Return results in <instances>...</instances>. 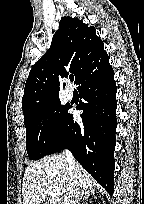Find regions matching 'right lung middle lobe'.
Instances as JSON below:
<instances>
[{
    "mask_svg": "<svg viewBox=\"0 0 144 204\" xmlns=\"http://www.w3.org/2000/svg\"><path fill=\"white\" fill-rule=\"evenodd\" d=\"M68 109L58 98L24 117L26 149L30 159L38 160L49 154L60 137Z\"/></svg>",
    "mask_w": 144,
    "mask_h": 204,
    "instance_id": "dd1d6c3e",
    "label": "right lung middle lobe"
}]
</instances>
